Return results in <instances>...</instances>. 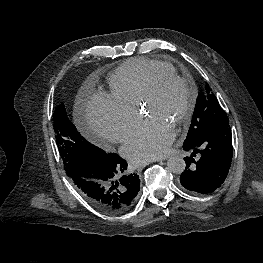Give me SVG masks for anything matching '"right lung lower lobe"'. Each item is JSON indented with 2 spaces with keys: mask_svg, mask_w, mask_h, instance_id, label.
Listing matches in <instances>:
<instances>
[{
  "mask_svg": "<svg viewBox=\"0 0 263 263\" xmlns=\"http://www.w3.org/2000/svg\"><path fill=\"white\" fill-rule=\"evenodd\" d=\"M126 169L127 162L110 153L79 163L68 176L88 203L106 212H120L133 205L140 189L137 174L121 176Z\"/></svg>",
  "mask_w": 263,
  "mask_h": 263,
  "instance_id": "1",
  "label": "right lung lower lobe"
}]
</instances>
